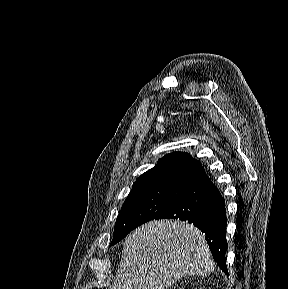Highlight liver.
<instances>
[{
	"instance_id": "liver-1",
	"label": "liver",
	"mask_w": 288,
	"mask_h": 289,
	"mask_svg": "<svg viewBox=\"0 0 288 289\" xmlns=\"http://www.w3.org/2000/svg\"><path fill=\"white\" fill-rule=\"evenodd\" d=\"M214 269L199 229L178 220H153L126 238L110 289H167L184 276H206Z\"/></svg>"
}]
</instances>
